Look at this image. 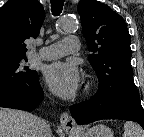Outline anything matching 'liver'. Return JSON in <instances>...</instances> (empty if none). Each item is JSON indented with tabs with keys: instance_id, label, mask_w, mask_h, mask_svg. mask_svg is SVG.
<instances>
[{
	"instance_id": "1",
	"label": "liver",
	"mask_w": 144,
	"mask_h": 137,
	"mask_svg": "<svg viewBox=\"0 0 144 137\" xmlns=\"http://www.w3.org/2000/svg\"><path fill=\"white\" fill-rule=\"evenodd\" d=\"M44 120L28 112L0 108V137H41Z\"/></svg>"
}]
</instances>
